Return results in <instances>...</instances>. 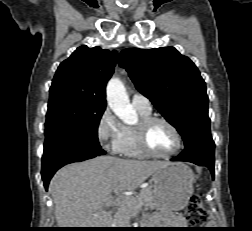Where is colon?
I'll use <instances>...</instances> for the list:
<instances>
[{
    "instance_id": "colon-1",
    "label": "colon",
    "mask_w": 252,
    "mask_h": 231,
    "mask_svg": "<svg viewBox=\"0 0 252 231\" xmlns=\"http://www.w3.org/2000/svg\"><path fill=\"white\" fill-rule=\"evenodd\" d=\"M205 210L202 204V194L197 193L190 199L186 208V220L190 226H200L205 221Z\"/></svg>"
}]
</instances>
